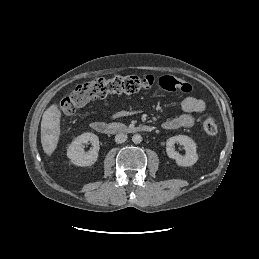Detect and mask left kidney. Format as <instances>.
Masks as SVG:
<instances>
[{
  "label": "left kidney",
  "mask_w": 259,
  "mask_h": 259,
  "mask_svg": "<svg viewBox=\"0 0 259 259\" xmlns=\"http://www.w3.org/2000/svg\"><path fill=\"white\" fill-rule=\"evenodd\" d=\"M175 143H179L184 146L185 156H182L175 151ZM166 152L170 158L175 159L178 166H192L198 160L196 143L190 137L185 135H177L169 138L166 142Z\"/></svg>",
  "instance_id": "1"
}]
</instances>
